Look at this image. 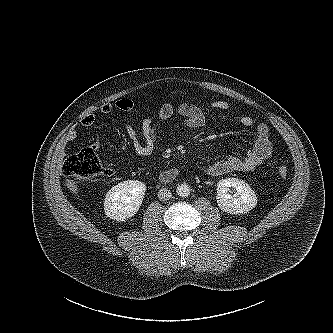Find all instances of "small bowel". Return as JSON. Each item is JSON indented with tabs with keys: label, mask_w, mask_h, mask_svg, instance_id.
I'll return each mask as SVG.
<instances>
[{
	"label": "small bowel",
	"mask_w": 333,
	"mask_h": 333,
	"mask_svg": "<svg viewBox=\"0 0 333 333\" xmlns=\"http://www.w3.org/2000/svg\"><path fill=\"white\" fill-rule=\"evenodd\" d=\"M133 107L134 103L131 99L122 98L114 103L104 104L100 110L104 114H110L114 111L128 112ZM210 108L225 112L230 109V105L226 101L216 100L210 104ZM175 113L182 116V125L186 128L195 129L205 125V113L198 105L187 102H181L177 105L169 102L163 103L158 110L156 119L148 116L142 119L139 132L131 125H124L123 130L131 142L133 151L140 156L150 155L158 143L160 127L167 123ZM237 121L244 127L254 125L253 118L246 114L238 116ZM94 122L95 116L93 114L86 115L81 119V125L84 127L92 126ZM76 138L77 132L70 130L65 136V142H73ZM93 148H98V142L94 143ZM272 151L269 128L266 124L260 123L256 126V140L244 156L228 155L203 170L212 176H220L230 172H250L267 160Z\"/></svg>",
	"instance_id": "obj_1"
}]
</instances>
